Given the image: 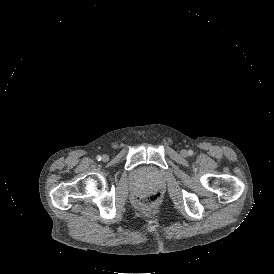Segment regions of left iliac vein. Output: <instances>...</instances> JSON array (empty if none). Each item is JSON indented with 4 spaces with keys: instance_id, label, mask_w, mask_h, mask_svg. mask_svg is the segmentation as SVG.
Returning <instances> with one entry per match:
<instances>
[{
    "instance_id": "1",
    "label": "left iliac vein",
    "mask_w": 274,
    "mask_h": 274,
    "mask_svg": "<svg viewBox=\"0 0 274 274\" xmlns=\"http://www.w3.org/2000/svg\"><path fill=\"white\" fill-rule=\"evenodd\" d=\"M181 155H182V156H186V155H187V151H186V150H182V151H181Z\"/></svg>"
}]
</instances>
